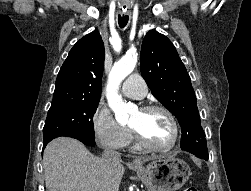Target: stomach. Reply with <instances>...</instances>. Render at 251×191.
Returning a JSON list of instances; mask_svg holds the SVG:
<instances>
[{"label": "stomach", "instance_id": "0dacf381", "mask_svg": "<svg viewBox=\"0 0 251 191\" xmlns=\"http://www.w3.org/2000/svg\"><path fill=\"white\" fill-rule=\"evenodd\" d=\"M143 159L140 167H133L141 181L145 183L149 191H176L189 179L191 169L184 161L174 155H157L152 157L148 165L144 167Z\"/></svg>", "mask_w": 251, "mask_h": 191}]
</instances>
